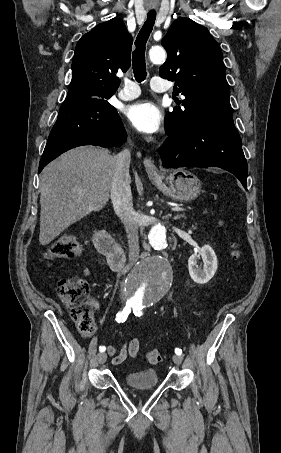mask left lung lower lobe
<instances>
[{"label":"left lung lower lobe","mask_w":281,"mask_h":453,"mask_svg":"<svg viewBox=\"0 0 281 453\" xmlns=\"http://www.w3.org/2000/svg\"><path fill=\"white\" fill-rule=\"evenodd\" d=\"M159 148L166 167H220L247 190V162L233 117L213 118L168 135Z\"/></svg>","instance_id":"obj_1"}]
</instances>
